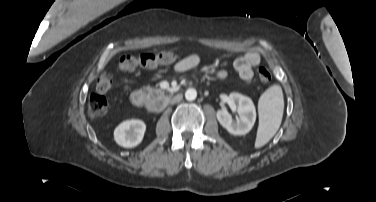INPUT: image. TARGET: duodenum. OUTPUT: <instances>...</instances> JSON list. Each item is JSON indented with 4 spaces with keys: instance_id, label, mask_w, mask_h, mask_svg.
<instances>
[{
    "instance_id": "duodenum-1",
    "label": "duodenum",
    "mask_w": 376,
    "mask_h": 202,
    "mask_svg": "<svg viewBox=\"0 0 376 202\" xmlns=\"http://www.w3.org/2000/svg\"><path fill=\"white\" fill-rule=\"evenodd\" d=\"M176 95H163L147 100L141 91H133L130 95L131 104L149 112H158L163 109Z\"/></svg>"
}]
</instances>
